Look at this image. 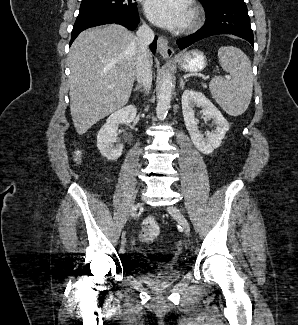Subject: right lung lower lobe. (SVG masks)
<instances>
[{
    "label": "right lung lower lobe",
    "mask_w": 298,
    "mask_h": 325,
    "mask_svg": "<svg viewBox=\"0 0 298 325\" xmlns=\"http://www.w3.org/2000/svg\"><path fill=\"white\" fill-rule=\"evenodd\" d=\"M108 23L120 24L128 28L129 30H134L138 26L139 16L137 10L135 11L111 10V11L92 13L88 15H78L75 24L73 26L70 43L74 41V39L78 36V34L81 31L90 27H94L102 24H108ZM156 42H157V37L150 44V49L153 53L156 52Z\"/></svg>",
    "instance_id": "98d812e1"
}]
</instances>
